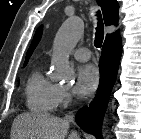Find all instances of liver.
<instances>
[{
  "mask_svg": "<svg viewBox=\"0 0 141 139\" xmlns=\"http://www.w3.org/2000/svg\"><path fill=\"white\" fill-rule=\"evenodd\" d=\"M70 121L46 113L26 112L18 115L12 124L11 139H65ZM68 139H79L72 132Z\"/></svg>",
  "mask_w": 141,
  "mask_h": 139,
  "instance_id": "liver-1",
  "label": "liver"
}]
</instances>
